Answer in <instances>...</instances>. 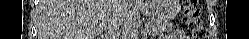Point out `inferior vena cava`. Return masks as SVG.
Returning a JSON list of instances; mask_svg holds the SVG:
<instances>
[{"label":"inferior vena cava","mask_w":249,"mask_h":39,"mask_svg":"<svg viewBox=\"0 0 249 39\" xmlns=\"http://www.w3.org/2000/svg\"><path fill=\"white\" fill-rule=\"evenodd\" d=\"M120 1V0H115ZM120 23L118 20L112 19L107 24L104 25V29L106 31L104 35V39H115L116 33L118 32Z\"/></svg>","instance_id":"1"}]
</instances>
